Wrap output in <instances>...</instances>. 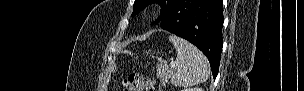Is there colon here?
<instances>
[{
    "label": "colon",
    "mask_w": 304,
    "mask_h": 91,
    "mask_svg": "<svg viewBox=\"0 0 304 91\" xmlns=\"http://www.w3.org/2000/svg\"><path fill=\"white\" fill-rule=\"evenodd\" d=\"M125 91H153L154 80L148 77L132 74L123 80Z\"/></svg>",
    "instance_id": "1"
}]
</instances>
